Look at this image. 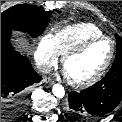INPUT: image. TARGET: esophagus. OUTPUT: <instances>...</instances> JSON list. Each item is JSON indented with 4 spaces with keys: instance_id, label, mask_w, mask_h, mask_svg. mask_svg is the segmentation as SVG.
<instances>
[{
    "instance_id": "esophagus-1",
    "label": "esophagus",
    "mask_w": 122,
    "mask_h": 122,
    "mask_svg": "<svg viewBox=\"0 0 122 122\" xmlns=\"http://www.w3.org/2000/svg\"><path fill=\"white\" fill-rule=\"evenodd\" d=\"M43 82L50 83V84H54V81L51 78H49V77H44L43 78Z\"/></svg>"
}]
</instances>
